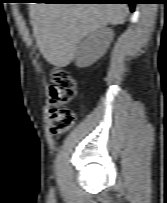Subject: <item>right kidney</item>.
Here are the masks:
<instances>
[{"instance_id": "right-kidney-1", "label": "right kidney", "mask_w": 167, "mask_h": 203, "mask_svg": "<svg viewBox=\"0 0 167 203\" xmlns=\"http://www.w3.org/2000/svg\"><path fill=\"white\" fill-rule=\"evenodd\" d=\"M112 40L113 31L106 27L88 35L79 46L76 54V65L88 67L95 63L106 52Z\"/></svg>"}]
</instances>
